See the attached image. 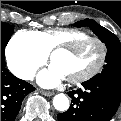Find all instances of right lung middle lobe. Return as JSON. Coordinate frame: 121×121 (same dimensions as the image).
Masks as SVG:
<instances>
[{"instance_id":"obj_1","label":"right lung middle lobe","mask_w":121,"mask_h":121,"mask_svg":"<svg viewBox=\"0 0 121 121\" xmlns=\"http://www.w3.org/2000/svg\"><path fill=\"white\" fill-rule=\"evenodd\" d=\"M13 31V26L1 22V59L5 58L4 49Z\"/></svg>"}]
</instances>
